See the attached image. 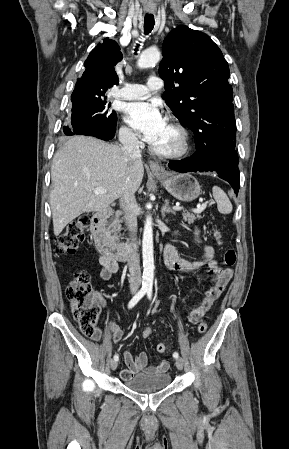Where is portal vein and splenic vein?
<instances>
[{
    "instance_id": "portal-vein-and-splenic-vein-1",
    "label": "portal vein and splenic vein",
    "mask_w": 289,
    "mask_h": 449,
    "mask_svg": "<svg viewBox=\"0 0 289 449\" xmlns=\"http://www.w3.org/2000/svg\"><path fill=\"white\" fill-rule=\"evenodd\" d=\"M106 192L107 191L104 188H96V189L93 190L94 194H104ZM206 206H207V203H204L201 206H198L197 208L192 209V211L194 213H201L206 208ZM173 209L176 210V211H180V210L183 209V207H181V206H174Z\"/></svg>"
}]
</instances>
